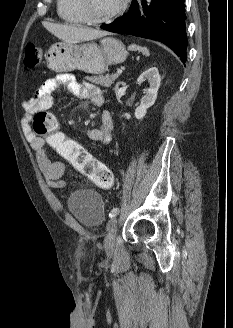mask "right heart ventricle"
I'll use <instances>...</instances> for the list:
<instances>
[{
  "label": "right heart ventricle",
  "instance_id": "obj_1",
  "mask_svg": "<svg viewBox=\"0 0 233 328\" xmlns=\"http://www.w3.org/2000/svg\"><path fill=\"white\" fill-rule=\"evenodd\" d=\"M57 12L65 22L72 24L86 23L76 0H57Z\"/></svg>",
  "mask_w": 233,
  "mask_h": 328
}]
</instances>
